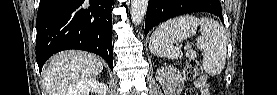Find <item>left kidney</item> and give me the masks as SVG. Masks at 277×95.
I'll return each instance as SVG.
<instances>
[{"label": "left kidney", "mask_w": 277, "mask_h": 95, "mask_svg": "<svg viewBox=\"0 0 277 95\" xmlns=\"http://www.w3.org/2000/svg\"><path fill=\"white\" fill-rule=\"evenodd\" d=\"M156 78L162 85L163 89L175 92L176 85H182L183 80L177 75L172 68L161 67L156 71Z\"/></svg>", "instance_id": "obj_1"}]
</instances>
